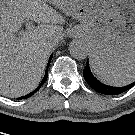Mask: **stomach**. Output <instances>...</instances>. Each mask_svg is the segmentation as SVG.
<instances>
[{
    "label": "stomach",
    "instance_id": "stomach-1",
    "mask_svg": "<svg viewBox=\"0 0 135 135\" xmlns=\"http://www.w3.org/2000/svg\"><path fill=\"white\" fill-rule=\"evenodd\" d=\"M80 21L77 27L99 69L124 68L135 61L134 0H47Z\"/></svg>",
    "mask_w": 135,
    "mask_h": 135
}]
</instances>
